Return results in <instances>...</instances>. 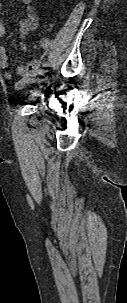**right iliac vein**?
Instances as JSON below:
<instances>
[{"instance_id": "63e3f726", "label": "right iliac vein", "mask_w": 127, "mask_h": 303, "mask_svg": "<svg viewBox=\"0 0 127 303\" xmlns=\"http://www.w3.org/2000/svg\"><path fill=\"white\" fill-rule=\"evenodd\" d=\"M46 79H47V75L46 74H41L40 78L38 79V82L40 83V82H42Z\"/></svg>"}]
</instances>
